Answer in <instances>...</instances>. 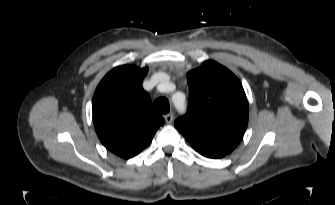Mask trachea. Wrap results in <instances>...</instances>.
<instances>
[{
  "label": "trachea",
  "mask_w": 335,
  "mask_h": 205,
  "mask_svg": "<svg viewBox=\"0 0 335 205\" xmlns=\"http://www.w3.org/2000/svg\"><path fill=\"white\" fill-rule=\"evenodd\" d=\"M153 107L157 112L161 114H167L170 111L169 101L165 97H160L156 99L153 103Z\"/></svg>",
  "instance_id": "trachea-1"
}]
</instances>
